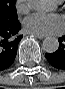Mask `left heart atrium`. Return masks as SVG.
<instances>
[{
    "label": "left heart atrium",
    "mask_w": 65,
    "mask_h": 89,
    "mask_svg": "<svg viewBox=\"0 0 65 89\" xmlns=\"http://www.w3.org/2000/svg\"><path fill=\"white\" fill-rule=\"evenodd\" d=\"M63 20L57 15L34 13L25 18L24 29L32 34L49 35L60 32L63 28Z\"/></svg>",
    "instance_id": "obj_1"
}]
</instances>
